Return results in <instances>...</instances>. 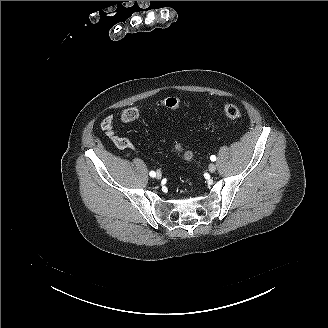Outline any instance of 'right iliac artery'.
<instances>
[{"instance_id":"obj_1","label":"right iliac artery","mask_w":328,"mask_h":328,"mask_svg":"<svg viewBox=\"0 0 328 328\" xmlns=\"http://www.w3.org/2000/svg\"><path fill=\"white\" fill-rule=\"evenodd\" d=\"M149 175H150L151 177H155V176H156V173H155L154 171H151V172L149 173Z\"/></svg>"}]
</instances>
